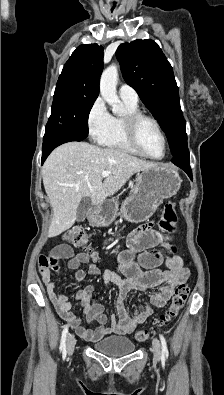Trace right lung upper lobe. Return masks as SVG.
<instances>
[{
	"label": "right lung upper lobe",
	"mask_w": 224,
	"mask_h": 395,
	"mask_svg": "<svg viewBox=\"0 0 224 395\" xmlns=\"http://www.w3.org/2000/svg\"><path fill=\"white\" fill-rule=\"evenodd\" d=\"M102 70L103 47L96 43L80 45L65 63L57 83L99 94Z\"/></svg>",
	"instance_id": "cb5924a9"
}]
</instances>
